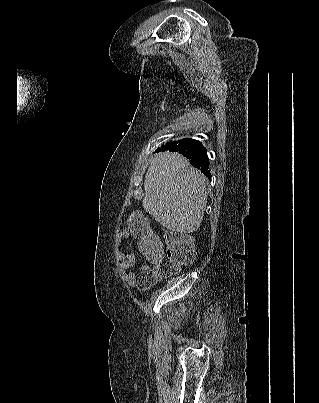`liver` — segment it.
I'll return each mask as SVG.
<instances>
[{
  "instance_id": "1",
  "label": "liver",
  "mask_w": 319,
  "mask_h": 403,
  "mask_svg": "<svg viewBox=\"0 0 319 403\" xmlns=\"http://www.w3.org/2000/svg\"><path fill=\"white\" fill-rule=\"evenodd\" d=\"M143 208L163 227L192 233L207 203L206 178L178 153L156 154L144 180Z\"/></svg>"
}]
</instances>
